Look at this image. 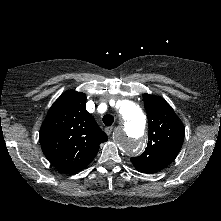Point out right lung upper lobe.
Wrapping results in <instances>:
<instances>
[{"label": "right lung upper lobe", "instance_id": "right-lung-upper-lobe-1", "mask_svg": "<svg viewBox=\"0 0 221 221\" xmlns=\"http://www.w3.org/2000/svg\"><path fill=\"white\" fill-rule=\"evenodd\" d=\"M39 140L48 161L66 173L83 170L96 156L100 143L108 140L86 110V96L63 93L49 109Z\"/></svg>", "mask_w": 221, "mask_h": 221}]
</instances>
